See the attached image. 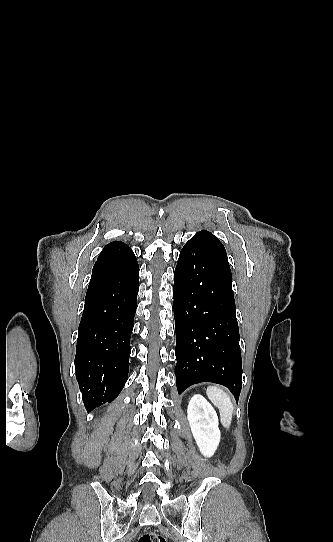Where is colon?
Returning <instances> with one entry per match:
<instances>
[{
  "label": "colon",
  "instance_id": "obj_1",
  "mask_svg": "<svg viewBox=\"0 0 333 542\" xmlns=\"http://www.w3.org/2000/svg\"><path fill=\"white\" fill-rule=\"evenodd\" d=\"M138 542H166V539L153 531H146L140 534Z\"/></svg>",
  "mask_w": 333,
  "mask_h": 542
}]
</instances>
